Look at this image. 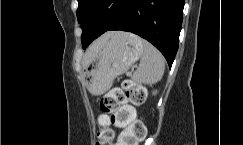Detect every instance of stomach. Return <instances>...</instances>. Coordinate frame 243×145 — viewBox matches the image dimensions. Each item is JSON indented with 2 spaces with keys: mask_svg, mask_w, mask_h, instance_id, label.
<instances>
[{
  "mask_svg": "<svg viewBox=\"0 0 243 145\" xmlns=\"http://www.w3.org/2000/svg\"><path fill=\"white\" fill-rule=\"evenodd\" d=\"M143 52L141 39L131 33L111 32L88 60L84 77L89 91H108L115 77L125 73Z\"/></svg>",
  "mask_w": 243,
  "mask_h": 145,
  "instance_id": "obj_1",
  "label": "stomach"
}]
</instances>
